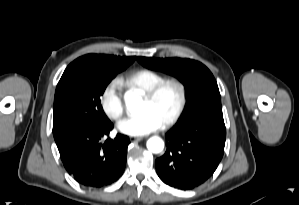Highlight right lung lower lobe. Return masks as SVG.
<instances>
[{
	"mask_svg": "<svg viewBox=\"0 0 299 205\" xmlns=\"http://www.w3.org/2000/svg\"><path fill=\"white\" fill-rule=\"evenodd\" d=\"M112 129L111 122L82 128L57 144L64 167L80 184L99 188L121 177L130 141L127 136L117 134L103 144L101 139Z\"/></svg>",
	"mask_w": 299,
	"mask_h": 205,
	"instance_id": "1",
	"label": "right lung lower lobe"
}]
</instances>
